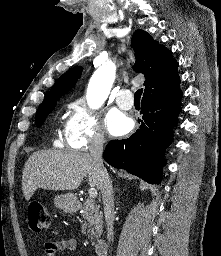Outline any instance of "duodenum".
Instances as JSON below:
<instances>
[{
    "label": "duodenum",
    "instance_id": "obj_1",
    "mask_svg": "<svg viewBox=\"0 0 221 256\" xmlns=\"http://www.w3.org/2000/svg\"><path fill=\"white\" fill-rule=\"evenodd\" d=\"M74 209L78 210L80 207L79 202L74 203ZM95 253L97 256H107V243L105 239L98 238L94 244Z\"/></svg>",
    "mask_w": 221,
    "mask_h": 256
}]
</instances>
